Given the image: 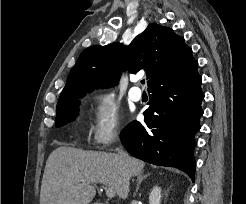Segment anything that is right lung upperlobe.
<instances>
[{
  "instance_id": "1",
  "label": "right lung upper lobe",
  "mask_w": 246,
  "mask_h": 204,
  "mask_svg": "<svg viewBox=\"0 0 246 204\" xmlns=\"http://www.w3.org/2000/svg\"><path fill=\"white\" fill-rule=\"evenodd\" d=\"M192 50L172 29L150 24L129 46L111 43L85 49L69 73L59 100L84 95L95 88L117 85L121 72L145 69L148 86L162 76L194 62Z\"/></svg>"
}]
</instances>
